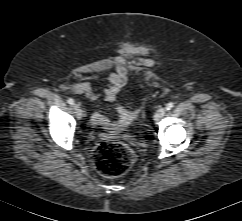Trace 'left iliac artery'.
Returning a JSON list of instances; mask_svg holds the SVG:
<instances>
[{"label":"left iliac artery","mask_w":242,"mask_h":221,"mask_svg":"<svg viewBox=\"0 0 242 221\" xmlns=\"http://www.w3.org/2000/svg\"><path fill=\"white\" fill-rule=\"evenodd\" d=\"M174 107V103L170 102L166 105V110H170Z\"/></svg>","instance_id":"1"}]
</instances>
